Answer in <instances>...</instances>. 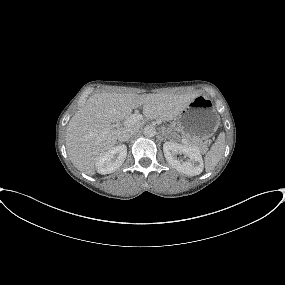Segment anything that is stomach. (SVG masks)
I'll return each mask as SVG.
<instances>
[{
  "instance_id": "stomach-1",
  "label": "stomach",
  "mask_w": 285,
  "mask_h": 285,
  "mask_svg": "<svg viewBox=\"0 0 285 285\" xmlns=\"http://www.w3.org/2000/svg\"><path fill=\"white\" fill-rule=\"evenodd\" d=\"M178 128L187 137L204 140L218 129L220 117L214 103L203 95L192 100L176 118Z\"/></svg>"
}]
</instances>
